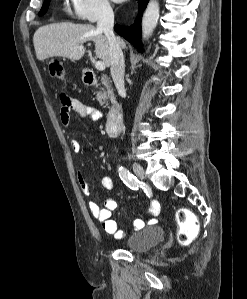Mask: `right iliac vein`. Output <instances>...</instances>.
I'll return each mask as SVG.
<instances>
[{"instance_id": "1", "label": "right iliac vein", "mask_w": 247, "mask_h": 299, "mask_svg": "<svg viewBox=\"0 0 247 299\" xmlns=\"http://www.w3.org/2000/svg\"><path fill=\"white\" fill-rule=\"evenodd\" d=\"M132 167H133V171L137 175V177L139 179L143 180L145 178V173H144L143 167L137 162H133Z\"/></svg>"}]
</instances>
